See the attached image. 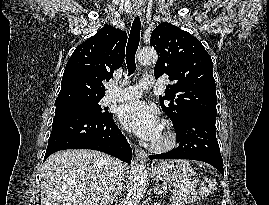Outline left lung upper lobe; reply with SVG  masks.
<instances>
[{
	"instance_id": "left-lung-upper-lobe-1",
	"label": "left lung upper lobe",
	"mask_w": 269,
	"mask_h": 205,
	"mask_svg": "<svg viewBox=\"0 0 269 205\" xmlns=\"http://www.w3.org/2000/svg\"><path fill=\"white\" fill-rule=\"evenodd\" d=\"M150 46L158 52L156 79L168 75L160 105L175 127L189 116L216 114V84L211 57L201 42L170 23H161L151 34Z\"/></svg>"
}]
</instances>
